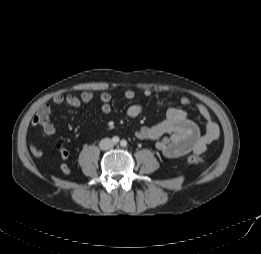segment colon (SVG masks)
I'll list each match as a JSON object with an SVG mask.
<instances>
[{"mask_svg":"<svg viewBox=\"0 0 261 254\" xmlns=\"http://www.w3.org/2000/svg\"><path fill=\"white\" fill-rule=\"evenodd\" d=\"M187 161L191 165L201 166L205 163V158L191 154L187 157Z\"/></svg>","mask_w":261,"mask_h":254,"instance_id":"obj_1","label":"colon"}]
</instances>
